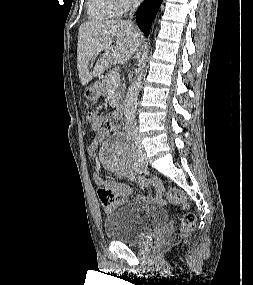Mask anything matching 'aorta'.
<instances>
[{
  "label": "aorta",
  "instance_id": "aorta-1",
  "mask_svg": "<svg viewBox=\"0 0 253 285\" xmlns=\"http://www.w3.org/2000/svg\"><path fill=\"white\" fill-rule=\"evenodd\" d=\"M148 52H149L148 44H146L145 49L142 53L141 60L139 62L137 75L131 82V85L129 86L126 94L125 105H124V116L128 127H133L135 124L137 100L141 89L142 78L145 72Z\"/></svg>",
  "mask_w": 253,
  "mask_h": 285
}]
</instances>
